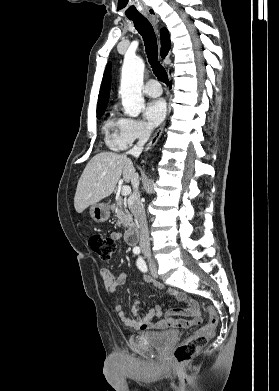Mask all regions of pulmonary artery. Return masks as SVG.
I'll return each instance as SVG.
<instances>
[{"mask_svg": "<svg viewBox=\"0 0 279 391\" xmlns=\"http://www.w3.org/2000/svg\"><path fill=\"white\" fill-rule=\"evenodd\" d=\"M143 92L148 96L157 97L161 95L162 89L157 81L150 80L144 86Z\"/></svg>", "mask_w": 279, "mask_h": 391, "instance_id": "obj_1", "label": "pulmonary artery"}]
</instances>
